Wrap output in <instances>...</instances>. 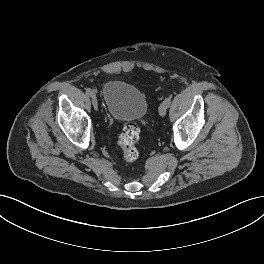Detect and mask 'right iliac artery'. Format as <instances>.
<instances>
[{"instance_id": "right-iliac-artery-1", "label": "right iliac artery", "mask_w": 264, "mask_h": 264, "mask_svg": "<svg viewBox=\"0 0 264 264\" xmlns=\"http://www.w3.org/2000/svg\"><path fill=\"white\" fill-rule=\"evenodd\" d=\"M86 94L89 95V96H92V94H94V93H93V91L91 89L87 88L86 89Z\"/></svg>"}]
</instances>
